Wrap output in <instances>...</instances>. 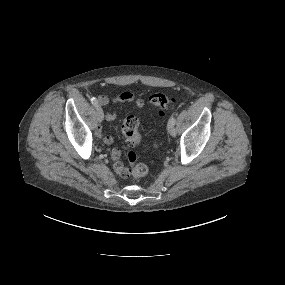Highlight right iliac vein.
<instances>
[{
    "instance_id": "1",
    "label": "right iliac vein",
    "mask_w": 285,
    "mask_h": 285,
    "mask_svg": "<svg viewBox=\"0 0 285 285\" xmlns=\"http://www.w3.org/2000/svg\"><path fill=\"white\" fill-rule=\"evenodd\" d=\"M96 116L99 122H101L104 118L103 111L99 106H96Z\"/></svg>"
}]
</instances>
